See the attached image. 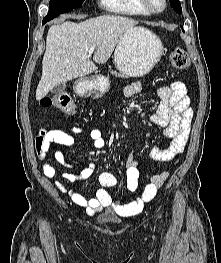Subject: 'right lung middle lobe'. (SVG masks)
Here are the masks:
<instances>
[{
	"label": "right lung middle lobe",
	"instance_id": "dd1d6c3e",
	"mask_svg": "<svg viewBox=\"0 0 221 263\" xmlns=\"http://www.w3.org/2000/svg\"><path fill=\"white\" fill-rule=\"evenodd\" d=\"M84 0H50L49 12L43 20L50 21L62 13L79 8Z\"/></svg>",
	"mask_w": 221,
	"mask_h": 263
}]
</instances>
